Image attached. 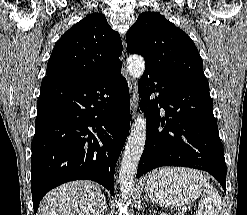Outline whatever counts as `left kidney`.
<instances>
[{"mask_svg": "<svg viewBox=\"0 0 247 215\" xmlns=\"http://www.w3.org/2000/svg\"><path fill=\"white\" fill-rule=\"evenodd\" d=\"M160 215H167V214H165V213H161Z\"/></svg>", "mask_w": 247, "mask_h": 215, "instance_id": "1", "label": "left kidney"}]
</instances>
